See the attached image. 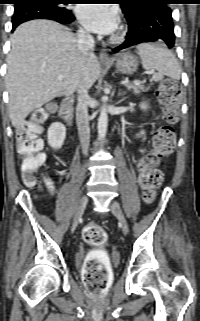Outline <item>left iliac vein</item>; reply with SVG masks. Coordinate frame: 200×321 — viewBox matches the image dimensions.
<instances>
[{
  "label": "left iliac vein",
  "instance_id": "obj_1",
  "mask_svg": "<svg viewBox=\"0 0 200 321\" xmlns=\"http://www.w3.org/2000/svg\"><path fill=\"white\" fill-rule=\"evenodd\" d=\"M110 208H111L112 213L119 220L122 231L126 235L128 233L129 228H128L127 220L123 214V211H122L120 205L116 201H112L110 204Z\"/></svg>",
  "mask_w": 200,
  "mask_h": 321
}]
</instances>
